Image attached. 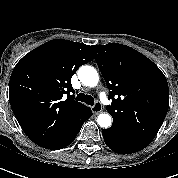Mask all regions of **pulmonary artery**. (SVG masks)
Wrapping results in <instances>:
<instances>
[{
  "mask_svg": "<svg viewBox=\"0 0 178 178\" xmlns=\"http://www.w3.org/2000/svg\"><path fill=\"white\" fill-rule=\"evenodd\" d=\"M100 98H101V101H102L104 104H108L107 101H106V96H105L104 93H102V94L100 95Z\"/></svg>",
  "mask_w": 178,
  "mask_h": 178,
  "instance_id": "obj_1",
  "label": "pulmonary artery"
}]
</instances>
